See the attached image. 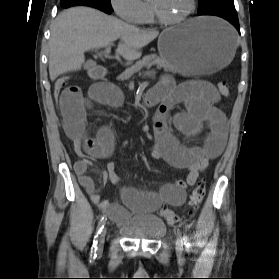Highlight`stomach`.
I'll return each mask as SVG.
<instances>
[{"label": "stomach", "instance_id": "obj_1", "mask_svg": "<svg viewBox=\"0 0 279 279\" xmlns=\"http://www.w3.org/2000/svg\"><path fill=\"white\" fill-rule=\"evenodd\" d=\"M158 50L183 76L209 75L228 69L236 50L235 34L221 20L194 18L164 30L158 39Z\"/></svg>", "mask_w": 279, "mask_h": 279}]
</instances>
